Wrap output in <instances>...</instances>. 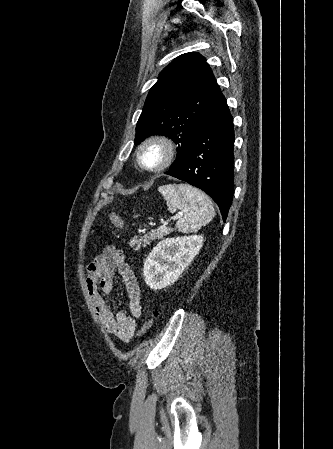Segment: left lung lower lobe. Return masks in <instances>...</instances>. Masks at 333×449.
<instances>
[{
	"label": "left lung lower lobe",
	"instance_id": "obj_1",
	"mask_svg": "<svg viewBox=\"0 0 333 449\" xmlns=\"http://www.w3.org/2000/svg\"><path fill=\"white\" fill-rule=\"evenodd\" d=\"M233 118L221 93L202 121L184 162L165 174L205 191L226 221L233 195Z\"/></svg>",
	"mask_w": 333,
	"mask_h": 449
}]
</instances>
